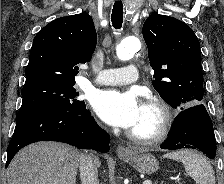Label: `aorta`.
Here are the masks:
<instances>
[{
    "label": "aorta",
    "instance_id": "aorta-1",
    "mask_svg": "<svg viewBox=\"0 0 224 184\" xmlns=\"http://www.w3.org/2000/svg\"><path fill=\"white\" fill-rule=\"evenodd\" d=\"M141 43L139 39L128 37L123 39L116 47L117 57L122 61L130 60L140 50Z\"/></svg>",
    "mask_w": 224,
    "mask_h": 184
}]
</instances>
